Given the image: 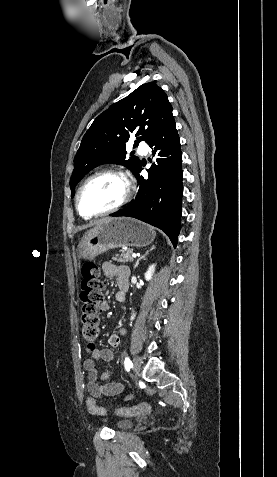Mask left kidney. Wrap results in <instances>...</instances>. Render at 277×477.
<instances>
[{
	"label": "left kidney",
	"mask_w": 277,
	"mask_h": 477,
	"mask_svg": "<svg viewBox=\"0 0 277 477\" xmlns=\"http://www.w3.org/2000/svg\"><path fill=\"white\" fill-rule=\"evenodd\" d=\"M154 271H155V265L153 264V265H151V266L149 267V269H148L147 272L145 273V279H146L147 281H149V280L152 279V276H153V274H154ZM134 317H135V315H133V316L131 317V320H133Z\"/></svg>",
	"instance_id": "5707ae66"
}]
</instances>
